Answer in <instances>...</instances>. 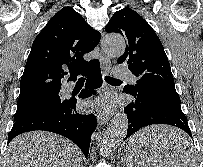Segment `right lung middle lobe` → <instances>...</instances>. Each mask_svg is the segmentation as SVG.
I'll return each mask as SVG.
<instances>
[{"label":"right lung middle lobe","mask_w":203,"mask_h":167,"mask_svg":"<svg viewBox=\"0 0 203 167\" xmlns=\"http://www.w3.org/2000/svg\"><path fill=\"white\" fill-rule=\"evenodd\" d=\"M63 103L58 93L46 96L34 102L17 106L16 114L14 115V121L27 116L31 113L38 112L41 110L49 109L55 106H59Z\"/></svg>","instance_id":"1"}]
</instances>
